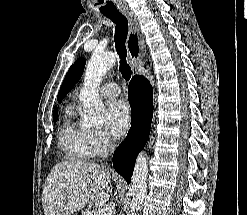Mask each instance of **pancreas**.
I'll use <instances>...</instances> for the list:
<instances>
[{"label": "pancreas", "mask_w": 247, "mask_h": 215, "mask_svg": "<svg viewBox=\"0 0 247 215\" xmlns=\"http://www.w3.org/2000/svg\"><path fill=\"white\" fill-rule=\"evenodd\" d=\"M97 211H98V209L96 208V209H93V210H85L84 212H83V215H97Z\"/></svg>", "instance_id": "pancreas-1"}]
</instances>
